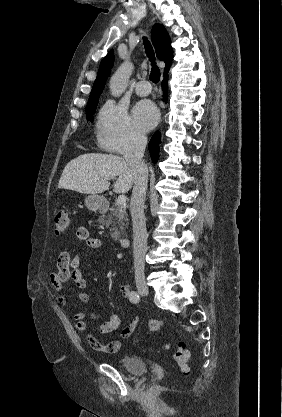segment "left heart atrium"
I'll return each instance as SVG.
<instances>
[{"label":"left heart atrium","instance_id":"left-heart-atrium-1","mask_svg":"<svg viewBox=\"0 0 282 417\" xmlns=\"http://www.w3.org/2000/svg\"><path fill=\"white\" fill-rule=\"evenodd\" d=\"M158 110L148 101L139 102L134 109L136 124L142 129H149L158 120Z\"/></svg>","mask_w":282,"mask_h":417}]
</instances>
